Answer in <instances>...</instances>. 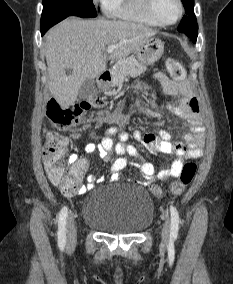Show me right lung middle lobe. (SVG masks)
I'll list each match as a JSON object with an SVG mask.
<instances>
[{
  "instance_id": "obj_1",
  "label": "right lung middle lobe",
  "mask_w": 233,
  "mask_h": 284,
  "mask_svg": "<svg viewBox=\"0 0 233 284\" xmlns=\"http://www.w3.org/2000/svg\"><path fill=\"white\" fill-rule=\"evenodd\" d=\"M68 16L96 17L93 0H43L41 29L52 27Z\"/></svg>"
}]
</instances>
